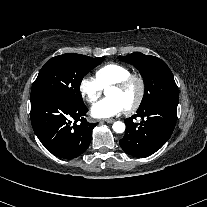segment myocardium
Wrapping results in <instances>:
<instances>
[{
	"label": "myocardium",
	"instance_id": "obj_1",
	"mask_svg": "<svg viewBox=\"0 0 207 207\" xmlns=\"http://www.w3.org/2000/svg\"><path fill=\"white\" fill-rule=\"evenodd\" d=\"M133 84L137 85L138 94L136 99L126 108L127 112H134L141 105L146 94V84L144 78L138 74H130L126 78L122 79L121 81L112 84L113 88H116L120 91L126 90Z\"/></svg>",
	"mask_w": 207,
	"mask_h": 207
}]
</instances>
